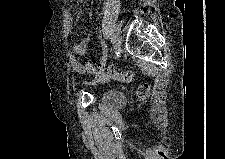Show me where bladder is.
<instances>
[{
	"mask_svg": "<svg viewBox=\"0 0 225 159\" xmlns=\"http://www.w3.org/2000/svg\"><path fill=\"white\" fill-rule=\"evenodd\" d=\"M125 103L124 97L116 91H107L102 97V104L112 107L119 108Z\"/></svg>",
	"mask_w": 225,
	"mask_h": 159,
	"instance_id": "bladder-1",
	"label": "bladder"
}]
</instances>
